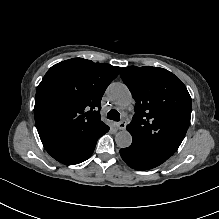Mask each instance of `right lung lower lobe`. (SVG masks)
<instances>
[{
    "label": "right lung lower lobe",
    "instance_id": "right-lung-lower-lobe-1",
    "mask_svg": "<svg viewBox=\"0 0 219 219\" xmlns=\"http://www.w3.org/2000/svg\"><path fill=\"white\" fill-rule=\"evenodd\" d=\"M108 130L109 127L105 125L90 139L49 142L44 143L43 146L60 163L66 165L78 164L92 155L97 140Z\"/></svg>",
    "mask_w": 219,
    "mask_h": 219
}]
</instances>
